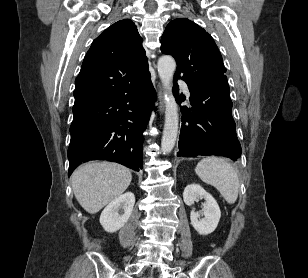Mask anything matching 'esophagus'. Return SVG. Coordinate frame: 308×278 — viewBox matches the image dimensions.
Listing matches in <instances>:
<instances>
[{"label": "esophagus", "instance_id": "1", "mask_svg": "<svg viewBox=\"0 0 308 278\" xmlns=\"http://www.w3.org/2000/svg\"><path fill=\"white\" fill-rule=\"evenodd\" d=\"M158 89H159V100H160L159 111L162 114L164 112V90L160 84L158 85Z\"/></svg>", "mask_w": 308, "mask_h": 278}]
</instances>
